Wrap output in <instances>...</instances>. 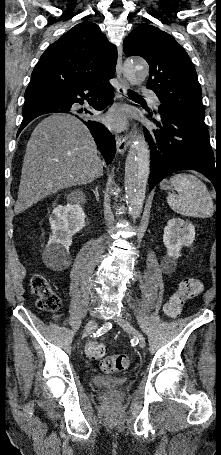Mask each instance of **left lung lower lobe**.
Returning <instances> with one entry per match:
<instances>
[{
	"label": "left lung lower lobe",
	"mask_w": 221,
	"mask_h": 455,
	"mask_svg": "<svg viewBox=\"0 0 221 455\" xmlns=\"http://www.w3.org/2000/svg\"><path fill=\"white\" fill-rule=\"evenodd\" d=\"M160 120L148 116L158 129L145 130L151 150L150 190L173 172L193 169L221 190V167L216 164L204 119L173 111H160Z\"/></svg>",
	"instance_id": "left-lung-lower-lobe-1"
}]
</instances>
